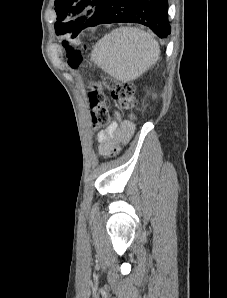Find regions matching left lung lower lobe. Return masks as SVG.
<instances>
[{"mask_svg":"<svg viewBox=\"0 0 227 298\" xmlns=\"http://www.w3.org/2000/svg\"><path fill=\"white\" fill-rule=\"evenodd\" d=\"M133 22L148 26L159 37L170 34L167 0H107L97 25Z\"/></svg>","mask_w":227,"mask_h":298,"instance_id":"obj_1","label":"left lung lower lobe"}]
</instances>
